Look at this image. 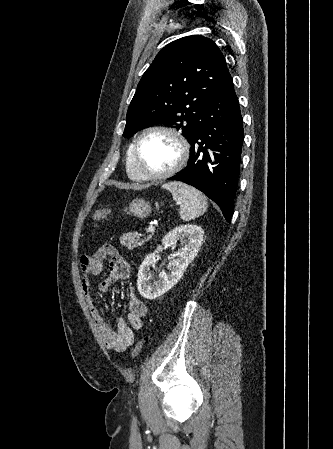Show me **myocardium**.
<instances>
[{
    "label": "myocardium",
    "mask_w": 333,
    "mask_h": 449,
    "mask_svg": "<svg viewBox=\"0 0 333 449\" xmlns=\"http://www.w3.org/2000/svg\"><path fill=\"white\" fill-rule=\"evenodd\" d=\"M151 133H162L168 135L176 142L178 147V158L176 162L169 169L160 173H145L140 165V144L142 140ZM132 149L134 166L142 181H159L175 175L185 166L189 157V145L184 136L177 130L162 125H153L142 130L134 141Z\"/></svg>",
    "instance_id": "1"
}]
</instances>
